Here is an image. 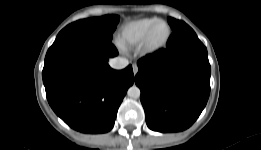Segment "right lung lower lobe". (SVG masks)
Masks as SVG:
<instances>
[{
    "label": "right lung lower lobe",
    "instance_id": "obj_1",
    "mask_svg": "<svg viewBox=\"0 0 261 150\" xmlns=\"http://www.w3.org/2000/svg\"><path fill=\"white\" fill-rule=\"evenodd\" d=\"M111 41L70 38L48 49L42 71L47 100L71 128L83 133L112 129L118 108L134 83L132 66L113 70Z\"/></svg>",
    "mask_w": 261,
    "mask_h": 150
}]
</instances>
